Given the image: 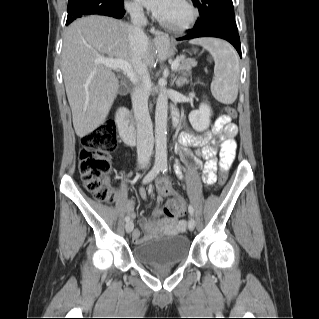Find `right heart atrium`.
<instances>
[{"instance_id":"d8ad5b80","label":"right heart atrium","mask_w":319,"mask_h":319,"mask_svg":"<svg viewBox=\"0 0 319 319\" xmlns=\"http://www.w3.org/2000/svg\"><path fill=\"white\" fill-rule=\"evenodd\" d=\"M127 6L132 12H141V6L135 1L127 3Z\"/></svg>"}]
</instances>
